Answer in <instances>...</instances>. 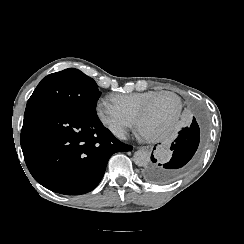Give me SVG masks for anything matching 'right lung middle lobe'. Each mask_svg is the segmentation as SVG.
Returning a JSON list of instances; mask_svg holds the SVG:
<instances>
[{"label":"right lung middle lobe","mask_w":244,"mask_h":244,"mask_svg":"<svg viewBox=\"0 0 244 244\" xmlns=\"http://www.w3.org/2000/svg\"><path fill=\"white\" fill-rule=\"evenodd\" d=\"M99 96L98 86L92 78L77 69L69 68L43 78L27 105H55L96 117Z\"/></svg>","instance_id":"1"}]
</instances>
